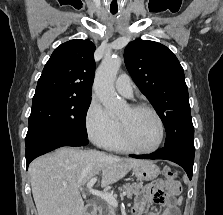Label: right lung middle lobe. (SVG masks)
Wrapping results in <instances>:
<instances>
[{"mask_svg": "<svg viewBox=\"0 0 223 215\" xmlns=\"http://www.w3.org/2000/svg\"><path fill=\"white\" fill-rule=\"evenodd\" d=\"M91 98L34 95L25 144L53 137L87 138L86 114Z\"/></svg>", "mask_w": 223, "mask_h": 215, "instance_id": "obj_1", "label": "right lung middle lobe"}]
</instances>
